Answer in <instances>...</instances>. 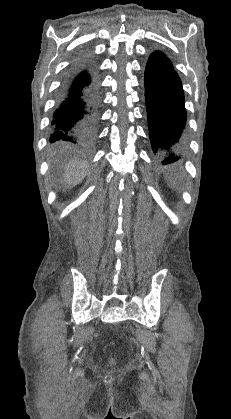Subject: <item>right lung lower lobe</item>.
<instances>
[{"label":"right lung lower lobe","instance_id":"1","mask_svg":"<svg viewBox=\"0 0 231 419\" xmlns=\"http://www.w3.org/2000/svg\"><path fill=\"white\" fill-rule=\"evenodd\" d=\"M98 90L89 67L79 63L67 74L58 95L50 141L87 147L96 134Z\"/></svg>","mask_w":231,"mask_h":419}]
</instances>
